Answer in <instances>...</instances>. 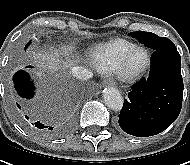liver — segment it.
Returning a JSON list of instances; mask_svg holds the SVG:
<instances>
[{"mask_svg": "<svg viewBox=\"0 0 190 165\" xmlns=\"http://www.w3.org/2000/svg\"><path fill=\"white\" fill-rule=\"evenodd\" d=\"M33 59L35 65L39 68L37 74L42 76L45 71L55 72L59 69L61 60L59 59V52L57 50H37L33 52ZM67 66V65H65Z\"/></svg>", "mask_w": 190, "mask_h": 165, "instance_id": "liver-1", "label": "liver"}]
</instances>
